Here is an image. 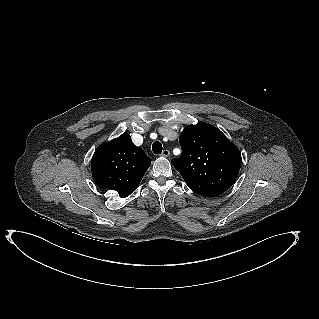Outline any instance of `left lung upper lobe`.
I'll return each mask as SVG.
<instances>
[{
  "mask_svg": "<svg viewBox=\"0 0 319 319\" xmlns=\"http://www.w3.org/2000/svg\"><path fill=\"white\" fill-rule=\"evenodd\" d=\"M179 142L182 154L171 163L194 193L215 197L233 185L241 153L219 129L203 122L189 125Z\"/></svg>",
  "mask_w": 319,
  "mask_h": 319,
  "instance_id": "left-lung-upper-lobe-1",
  "label": "left lung upper lobe"
}]
</instances>
